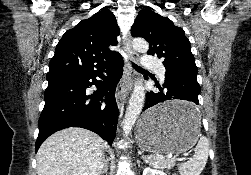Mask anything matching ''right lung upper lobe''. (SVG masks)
Returning <instances> with one entry per match:
<instances>
[{
    "label": "right lung upper lobe",
    "instance_id": "obj_1",
    "mask_svg": "<svg viewBox=\"0 0 251 175\" xmlns=\"http://www.w3.org/2000/svg\"><path fill=\"white\" fill-rule=\"evenodd\" d=\"M119 27L113 13L103 9L66 31L56 46L46 79L53 80L105 69L121 56L109 49L117 44Z\"/></svg>",
    "mask_w": 251,
    "mask_h": 175
}]
</instances>
